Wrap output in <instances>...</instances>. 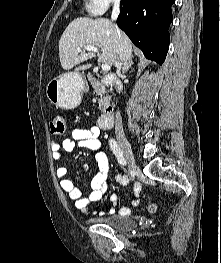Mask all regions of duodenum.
I'll return each mask as SVG.
<instances>
[{"mask_svg":"<svg viewBox=\"0 0 221 263\" xmlns=\"http://www.w3.org/2000/svg\"><path fill=\"white\" fill-rule=\"evenodd\" d=\"M104 82L112 85L116 83V78L114 75L109 74L104 76ZM113 115H114L113 106L112 104L109 103L105 107L103 114L99 119V127L104 130L110 129L113 125Z\"/></svg>","mask_w":221,"mask_h":263,"instance_id":"410a0bca","label":"duodenum"}]
</instances>
